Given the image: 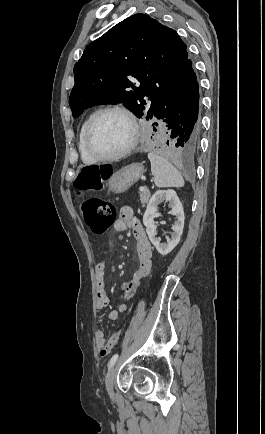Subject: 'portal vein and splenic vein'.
<instances>
[{"mask_svg":"<svg viewBox=\"0 0 265 434\" xmlns=\"http://www.w3.org/2000/svg\"><path fill=\"white\" fill-rule=\"evenodd\" d=\"M140 192H143L144 188L143 186H141V188H139Z\"/></svg>","mask_w":265,"mask_h":434,"instance_id":"portal-vein-and-splenic-vein-1","label":"portal vein and splenic vein"}]
</instances>
